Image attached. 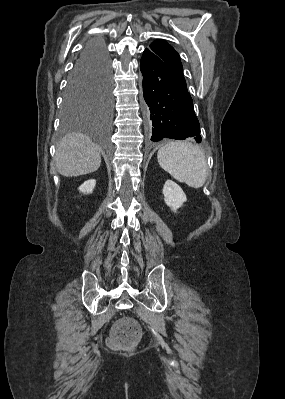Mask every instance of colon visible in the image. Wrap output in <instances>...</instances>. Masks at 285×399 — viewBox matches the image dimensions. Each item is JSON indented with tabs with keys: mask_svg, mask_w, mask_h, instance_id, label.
<instances>
[{
	"mask_svg": "<svg viewBox=\"0 0 285 399\" xmlns=\"http://www.w3.org/2000/svg\"><path fill=\"white\" fill-rule=\"evenodd\" d=\"M141 337L142 331L136 322L122 320L113 327L109 343L115 348H132Z\"/></svg>",
	"mask_w": 285,
	"mask_h": 399,
	"instance_id": "obj_1",
	"label": "colon"
}]
</instances>
